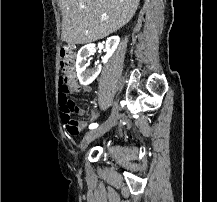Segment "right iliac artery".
<instances>
[{"label": "right iliac artery", "instance_id": "right-iliac-artery-1", "mask_svg": "<svg viewBox=\"0 0 217 202\" xmlns=\"http://www.w3.org/2000/svg\"><path fill=\"white\" fill-rule=\"evenodd\" d=\"M98 127V124L97 123H92L89 125V129H95Z\"/></svg>", "mask_w": 217, "mask_h": 202}]
</instances>
